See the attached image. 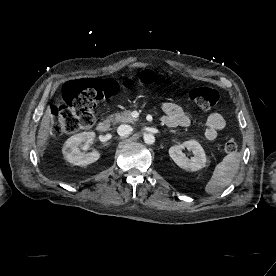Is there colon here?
<instances>
[{"label": "colon", "instance_id": "colon-1", "mask_svg": "<svg viewBox=\"0 0 276 276\" xmlns=\"http://www.w3.org/2000/svg\"><path fill=\"white\" fill-rule=\"evenodd\" d=\"M145 84L154 82L150 71H143L140 77ZM119 84L113 80L75 79L63 88L64 105L50 109V132L54 136L73 134L82 129H89L96 120L98 102L117 93ZM188 98L204 111L216 106L219 100L217 90L210 87H196L188 92ZM237 142L228 138L223 144L226 153L235 152Z\"/></svg>", "mask_w": 276, "mask_h": 276}]
</instances>
